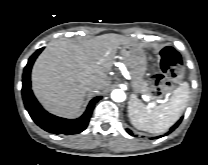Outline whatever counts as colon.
<instances>
[{
  "instance_id": "colon-1",
  "label": "colon",
  "mask_w": 208,
  "mask_h": 165,
  "mask_svg": "<svg viewBox=\"0 0 208 165\" xmlns=\"http://www.w3.org/2000/svg\"><path fill=\"white\" fill-rule=\"evenodd\" d=\"M159 70L152 79L153 93L157 97L166 95L172 86V80L178 78L183 70L182 58L173 47L162 49L159 57Z\"/></svg>"
}]
</instances>
